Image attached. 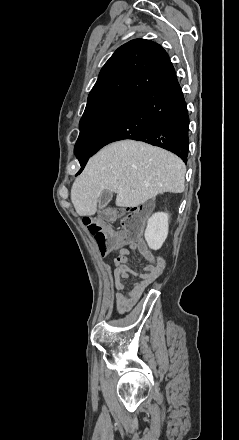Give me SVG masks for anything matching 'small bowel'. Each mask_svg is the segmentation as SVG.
I'll list each match as a JSON object with an SVG mask.
<instances>
[{
  "mask_svg": "<svg viewBox=\"0 0 239 440\" xmlns=\"http://www.w3.org/2000/svg\"><path fill=\"white\" fill-rule=\"evenodd\" d=\"M136 250L140 252L146 261V266L142 273L133 271L128 265L130 253ZM114 262L115 287L117 290L116 301L121 312L133 306L146 287L157 279L165 267L163 258L155 256L143 243H131L127 249L120 250ZM131 276H137L139 280L127 288L125 280Z\"/></svg>",
  "mask_w": 239,
  "mask_h": 440,
  "instance_id": "obj_1",
  "label": "small bowel"
}]
</instances>
